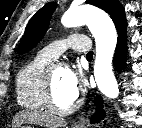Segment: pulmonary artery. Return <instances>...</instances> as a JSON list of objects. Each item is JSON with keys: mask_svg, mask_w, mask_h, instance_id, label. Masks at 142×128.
Masks as SVG:
<instances>
[{"mask_svg": "<svg viewBox=\"0 0 142 128\" xmlns=\"http://www.w3.org/2000/svg\"><path fill=\"white\" fill-rule=\"evenodd\" d=\"M67 49L88 53L91 51L90 40L81 34H71L65 39L54 41L45 46L40 53L49 58L56 59Z\"/></svg>", "mask_w": 142, "mask_h": 128, "instance_id": "pulmonary-artery-1", "label": "pulmonary artery"}]
</instances>
